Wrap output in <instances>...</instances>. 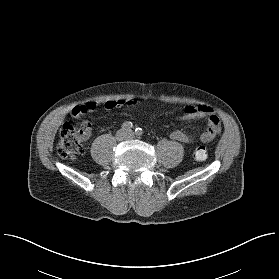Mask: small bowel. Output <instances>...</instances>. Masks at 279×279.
<instances>
[{
    "label": "small bowel",
    "mask_w": 279,
    "mask_h": 279,
    "mask_svg": "<svg viewBox=\"0 0 279 279\" xmlns=\"http://www.w3.org/2000/svg\"><path fill=\"white\" fill-rule=\"evenodd\" d=\"M134 100L133 99H113V98H101V97H96L93 99L91 105L92 107H90V105L86 104L83 106L84 109L88 110V109H94V107L98 104H103L105 109L107 110H112L115 109L116 107H121L127 104L133 105L134 104ZM81 114L79 107H74L73 109H71L69 115L70 117L73 118H77L79 117ZM214 112L213 110L208 107V106H187L185 108V113L180 116L181 119H196V118H204V117H208V122H209V126L211 124H219L220 125V120L217 116H213ZM209 132V127L207 128L206 131H204L201 136L200 139L203 141L204 137L208 134ZM170 138L172 140L175 141H179V142H192L194 140V136L189 135L184 133L181 130H174L170 133ZM204 142V141H203Z\"/></svg>",
    "instance_id": "c3829d8e"
}]
</instances>
